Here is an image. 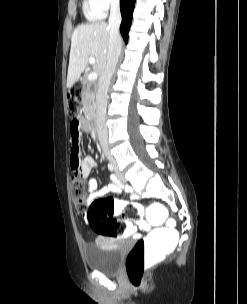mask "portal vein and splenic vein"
Here are the masks:
<instances>
[{
	"mask_svg": "<svg viewBox=\"0 0 247 304\" xmlns=\"http://www.w3.org/2000/svg\"><path fill=\"white\" fill-rule=\"evenodd\" d=\"M95 62H96L95 57H94V56H90V57H89V63H90L91 65H94ZM97 77H98V74L94 71V72L89 73V75H88V80H89V81H94V80L97 79Z\"/></svg>",
	"mask_w": 247,
	"mask_h": 304,
	"instance_id": "1",
	"label": "portal vein and splenic vein"
}]
</instances>
